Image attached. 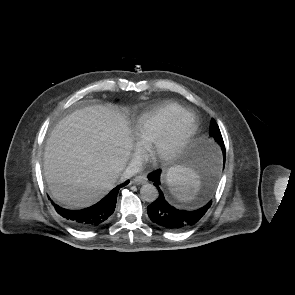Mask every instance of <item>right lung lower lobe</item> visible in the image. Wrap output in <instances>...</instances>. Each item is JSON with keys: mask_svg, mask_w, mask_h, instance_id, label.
<instances>
[{"mask_svg": "<svg viewBox=\"0 0 295 295\" xmlns=\"http://www.w3.org/2000/svg\"><path fill=\"white\" fill-rule=\"evenodd\" d=\"M128 183L129 180L115 187L97 204L82 210H68L56 204H54V207L58 214L67 219L68 222L74 226L82 229H92L104 224L111 216L115 209L118 190Z\"/></svg>", "mask_w": 295, "mask_h": 295, "instance_id": "right-lung-lower-lobe-1", "label": "right lung lower lobe"}]
</instances>
